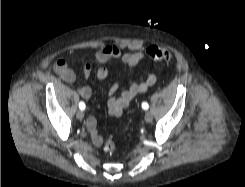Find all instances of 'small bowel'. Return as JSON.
Instances as JSON below:
<instances>
[{
    "mask_svg": "<svg viewBox=\"0 0 245 187\" xmlns=\"http://www.w3.org/2000/svg\"><path fill=\"white\" fill-rule=\"evenodd\" d=\"M146 57V51L122 52L118 46L107 44L96 52L92 62L86 63L83 66V76L85 79L89 78L93 68L96 67L97 78L104 80L108 77V70L103 65L111 59H118L123 66L122 75L126 78L130 69ZM54 70L60 78L67 83H73L76 80L75 72L68 66L64 58H59L55 62ZM157 81L158 76L156 74L148 75L141 82L127 79V88L122 91H120L121 83L113 84L109 89V99L107 102L109 115L116 118L120 117L123 111L132 105L138 95L145 93L150 87L155 85ZM77 93L80 98L87 100L90 98L92 91L89 86L85 85L80 87ZM86 127L93 143L100 146L104 139L96 128L95 118L89 117L86 121Z\"/></svg>",
    "mask_w": 245,
    "mask_h": 187,
    "instance_id": "c3829d8e",
    "label": "small bowel"
}]
</instances>
